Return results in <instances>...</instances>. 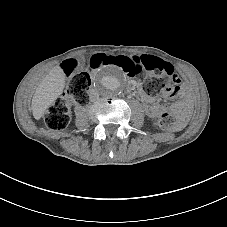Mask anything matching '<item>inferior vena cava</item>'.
I'll return each instance as SVG.
<instances>
[{
    "label": "inferior vena cava",
    "instance_id": "inferior-vena-cava-1",
    "mask_svg": "<svg viewBox=\"0 0 227 227\" xmlns=\"http://www.w3.org/2000/svg\"><path fill=\"white\" fill-rule=\"evenodd\" d=\"M98 97H99L98 92L95 91V90H93V89H91L90 90V93H89V100L92 101V102H94V101L97 100Z\"/></svg>",
    "mask_w": 227,
    "mask_h": 227
}]
</instances>
